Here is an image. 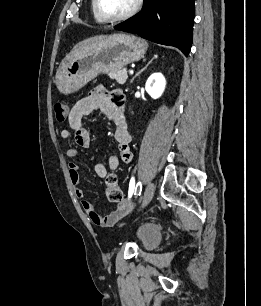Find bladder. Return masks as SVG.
I'll return each instance as SVG.
<instances>
[{"instance_id":"obj_1","label":"bladder","mask_w":261,"mask_h":306,"mask_svg":"<svg viewBox=\"0 0 261 306\" xmlns=\"http://www.w3.org/2000/svg\"><path fill=\"white\" fill-rule=\"evenodd\" d=\"M136 238L139 246L144 250L154 248L161 239L159 228L150 223L141 225L136 231Z\"/></svg>"}]
</instances>
